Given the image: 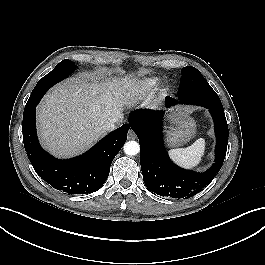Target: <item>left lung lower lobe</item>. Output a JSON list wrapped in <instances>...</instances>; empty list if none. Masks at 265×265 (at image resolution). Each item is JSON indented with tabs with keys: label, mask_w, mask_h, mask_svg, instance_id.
<instances>
[{
	"label": "left lung lower lobe",
	"mask_w": 265,
	"mask_h": 265,
	"mask_svg": "<svg viewBox=\"0 0 265 265\" xmlns=\"http://www.w3.org/2000/svg\"><path fill=\"white\" fill-rule=\"evenodd\" d=\"M216 92L200 88L180 101L167 97L165 106L193 104L209 109L216 134L215 163L205 172L196 173L175 165L169 158L162 139L164 111L140 109L129 116V125L140 139V163L147 189L160 196L188 199L199 193L222 167L228 144V125L223 108L213 104Z\"/></svg>",
	"instance_id": "0a47b994"
}]
</instances>
